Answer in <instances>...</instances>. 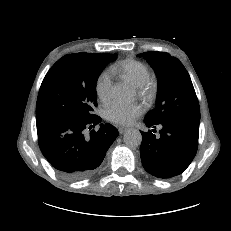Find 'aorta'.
<instances>
[{"label":"aorta","mask_w":231,"mask_h":231,"mask_svg":"<svg viewBox=\"0 0 231 231\" xmlns=\"http://www.w3.org/2000/svg\"><path fill=\"white\" fill-rule=\"evenodd\" d=\"M112 94L121 101H128L130 98V91L124 85H115L112 88ZM123 140L128 147H138L142 142V135L137 129H128L124 134Z\"/></svg>","instance_id":"1"}]
</instances>
